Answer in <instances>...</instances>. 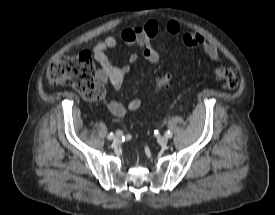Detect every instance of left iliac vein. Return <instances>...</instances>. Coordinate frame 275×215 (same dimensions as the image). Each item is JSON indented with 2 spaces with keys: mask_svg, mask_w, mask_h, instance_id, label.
I'll return each instance as SVG.
<instances>
[{
  "mask_svg": "<svg viewBox=\"0 0 275 215\" xmlns=\"http://www.w3.org/2000/svg\"><path fill=\"white\" fill-rule=\"evenodd\" d=\"M157 141L162 146H164L168 143L167 137H164V136L158 137Z\"/></svg>",
  "mask_w": 275,
  "mask_h": 215,
  "instance_id": "left-iliac-vein-1",
  "label": "left iliac vein"
}]
</instances>
